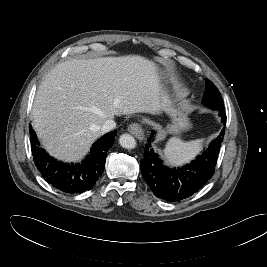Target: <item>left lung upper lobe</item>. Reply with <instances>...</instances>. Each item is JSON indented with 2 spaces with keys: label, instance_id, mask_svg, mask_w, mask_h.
Returning <instances> with one entry per match:
<instances>
[{
  "label": "left lung upper lobe",
  "instance_id": "5c2ea615",
  "mask_svg": "<svg viewBox=\"0 0 267 267\" xmlns=\"http://www.w3.org/2000/svg\"><path fill=\"white\" fill-rule=\"evenodd\" d=\"M204 104L212 109H223V100L217 87L208 79H206V89L203 96Z\"/></svg>",
  "mask_w": 267,
  "mask_h": 267
}]
</instances>
